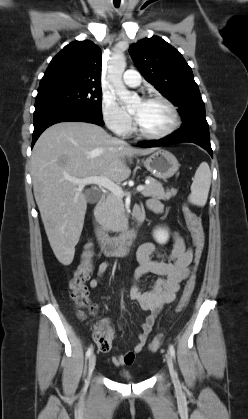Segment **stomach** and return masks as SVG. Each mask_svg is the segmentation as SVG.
<instances>
[{
    "mask_svg": "<svg viewBox=\"0 0 248 419\" xmlns=\"http://www.w3.org/2000/svg\"><path fill=\"white\" fill-rule=\"evenodd\" d=\"M143 164L152 175L160 179L172 177L179 168L176 157L162 149L153 152L143 161Z\"/></svg>",
    "mask_w": 248,
    "mask_h": 419,
    "instance_id": "stomach-1",
    "label": "stomach"
}]
</instances>
